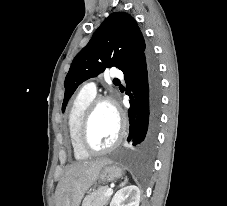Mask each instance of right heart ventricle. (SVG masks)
<instances>
[{"instance_id":"e07e8e85","label":"right heart ventricle","mask_w":227,"mask_h":206,"mask_svg":"<svg viewBox=\"0 0 227 206\" xmlns=\"http://www.w3.org/2000/svg\"><path fill=\"white\" fill-rule=\"evenodd\" d=\"M94 97L95 93L81 90L73 99L67 114V133L72 153L76 160H84L89 156L80 148L77 133L83 112Z\"/></svg>"}]
</instances>
